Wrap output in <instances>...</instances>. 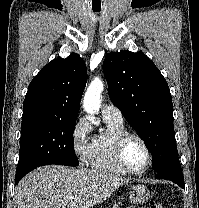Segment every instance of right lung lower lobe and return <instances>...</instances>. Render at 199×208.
Returning a JSON list of instances; mask_svg holds the SVG:
<instances>
[{
	"mask_svg": "<svg viewBox=\"0 0 199 208\" xmlns=\"http://www.w3.org/2000/svg\"><path fill=\"white\" fill-rule=\"evenodd\" d=\"M24 175H26V174H16L15 184H17L21 180V178L24 177Z\"/></svg>",
	"mask_w": 199,
	"mask_h": 208,
	"instance_id": "1",
	"label": "right lung lower lobe"
}]
</instances>
